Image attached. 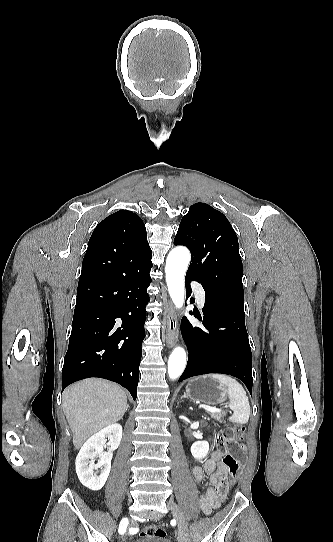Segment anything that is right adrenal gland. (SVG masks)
Wrapping results in <instances>:
<instances>
[{"label": "right adrenal gland", "instance_id": "1", "mask_svg": "<svg viewBox=\"0 0 333 542\" xmlns=\"http://www.w3.org/2000/svg\"><path fill=\"white\" fill-rule=\"evenodd\" d=\"M127 408H129V404H127Z\"/></svg>", "mask_w": 333, "mask_h": 542}]
</instances>
